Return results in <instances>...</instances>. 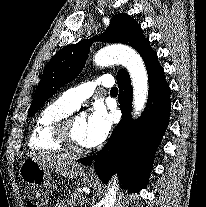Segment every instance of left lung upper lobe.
Masks as SVG:
<instances>
[{"label":"left lung upper lobe","mask_w":206,"mask_h":207,"mask_svg":"<svg viewBox=\"0 0 206 207\" xmlns=\"http://www.w3.org/2000/svg\"><path fill=\"white\" fill-rule=\"evenodd\" d=\"M93 40L127 44L137 50L141 56L150 47V42L143 35L137 21L128 14H116L111 18L108 28L102 35L68 45L54 55L45 67L36 88L28 117L34 115L58 88L77 77L84 67ZM126 73L125 70H119L117 78Z\"/></svg>","instance_id":"left-lung-upper-lobe-1"}]
</instances>
